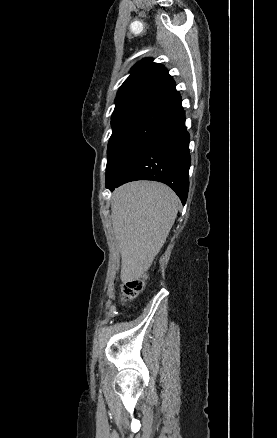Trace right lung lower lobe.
I'll list each match as a JSON object with an SVG mask.
<instances>
[{
  "label": "right lung lower lobe",
  "mask_w": 277,
  "mask_h": 438,
  "mask_svg": "<svg viewBox=\"0 0 277 438\" xmlns=\"http://www.w3.org/2000/svg\"><path fill=\"white\" fill-rule=\"evenodd\" d=\"M189 140L184 110L179 101L168 111L122 175L116 181L106 183V187L113 191L126 182L155 180L170 186L184 205L189 189Z\"/></svg>",
  "instance_id": "obj_1"
}]
</instances>
